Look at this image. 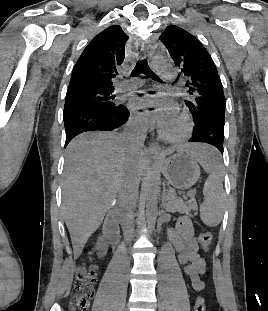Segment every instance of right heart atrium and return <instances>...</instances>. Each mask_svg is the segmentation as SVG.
Listing matches in <instances>:
<instances>
[{
  "label": "right heart atrium",
  "instance_id": "d8ad5b80",
  "mask_svg": "<svg viewBox=\"0 0 268 311\" xmlns=\"http://www.w3.org/2000/svg\"><path fill=\"white\" fill-rule=\"evenodd\" d=\"M131 126L136 130H144L146 127V123L141 119L134 118L131 122Z\"/></svg>",
  "mask_w": 268,
  "mask_h": 311
}]
</instances>
